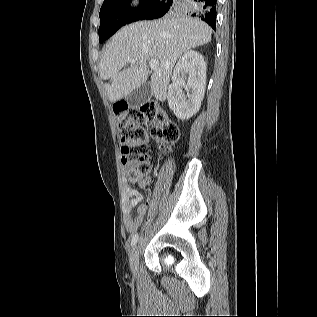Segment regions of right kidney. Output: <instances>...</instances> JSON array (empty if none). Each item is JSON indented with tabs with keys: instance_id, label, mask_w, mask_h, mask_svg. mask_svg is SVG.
Listing matches in <instances>:
<instances>
[{
	"instance_id": "right-kidney-1",
	"label": "right kidney",
	"mask_w": 317,
	"mask_h": 317,
	"mask_svg": "<svg viewBox=\"0 0 317 317\" xmlns=\"http://www.w3.org/2000/svg\"><path fill=\"white\" fill-rule=\"evenodd\" d=\"M205 87L206 63L203 56L193 50L185 52L174 68L167 93L168 105L178 119H188L199 111ZM183 88L190 93L185 95Z\"/></svg>"
}]
</instances>
